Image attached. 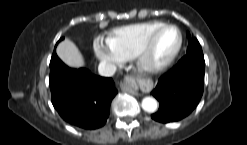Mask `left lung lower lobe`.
<instances>
[{
	"label": "left lung lower lobe",
	"instance_id": "left-lung-lower-lobe-1",
	"mask_svg": "<svg viewBox=\"0 0 247 145\" xmlns=\"http://www.w3.org/2000/svg\"><path fill=\"white\" fill-rule=\"evenodd\" d=\"M204 72L203 53H187L175 67L160 78L152 91L159 101V110L151 117L158 122L167 123L189 115L202 97Z\"/></svg>",
	"mask_w": 247,
	"mask_h": 145
}]
</instances>
